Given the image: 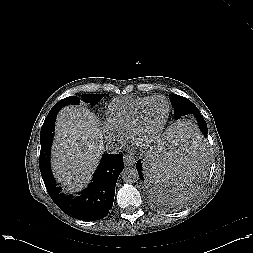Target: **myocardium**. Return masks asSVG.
<instances>
[{"mask_svg": "<svg viewBox=\"0 0 253 253\" xmlns=\"http://www.w3.org/2000/svg\"><path fill=\"white\" fill-rule=\"evenodd\" d=\"M158 98L164 99L167 102L168 109H167L166 117L157 130H155L153 133H151L150 135H148L145 138H140L139 137V128H140V124H141V121L143 118L144 111H145L146 107L152 101H154L155 99H158ZM170 114H171V103L167 97H165L163 95L151 96L147 101H145L139 107V109L136 113V116L131 124L130 129H129V132H128L129 139L132 140L134 143H136L138 145H142V146H148V145L154 143L163 133V131L168 123V120L170 118Z\"/></svg>", "mask_w": 253, "mask_h": 253, "instance_id": "f54148a6", "label": "myocardium"}]
</instances>
